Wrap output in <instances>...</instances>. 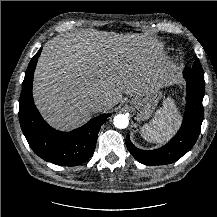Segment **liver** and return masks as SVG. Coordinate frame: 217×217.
Masks as SVG:
<instances>
[{"mask_svg":"<svg viewBox=\"0 0 217 217\" xmlns=\"http://www.w3.org/2000/svg\"><path fill=\"white\" fill-rule=\"evenodd\" d=\"M138 48L133 40L97 32L49 40L33 83L41 113L56 128L72 129L90 118L94 100H108L104 110H109L122 100V93L135 96L158 89Z\"/></svg>","mask_w":217,"mask_h":217,"instance_id":"6515ba94","label":"liver"}]
</instances>
